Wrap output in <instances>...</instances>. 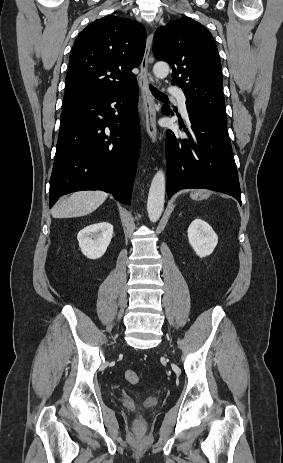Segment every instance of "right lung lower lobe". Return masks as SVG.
<instances>
[{
    "instance_id": "right-lung-lower-lobe-1",
    "label": "right lung lower lobe",
    "mask_w": 283,
    "mask_h": 463,
    "mask_svg": "<svg viewBox=\"0 0 283 463\" xmlns=\"http://www.w3.org/2000/svg\"><path fill=\"white\" fill-rule=\"evenodd\" d=\"M137 103L135 83L62 112L50 208L60 196L81 190H102L130 204L140 152Z\"/></svg>"
}]
</instances>
